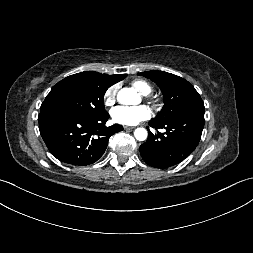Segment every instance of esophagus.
I'll use <instances>...</instances> for the list:
<instances>
[{
  "label": "esophagus",
  "mask_w": 253,
  "mask_h": 253,
  "mask_svg": "<svg viewBox=\"0 0 253 253\" xmlns=\"http://www.w3.org/2000/svg\"><path fill=\"white\" fill-rule=\"evenodd\" d=\"M135 127H133V126H124V129L125 130H132V129H134Z\"/></svg>",
  "instance_id": "1"
}]
</instances>
